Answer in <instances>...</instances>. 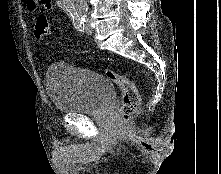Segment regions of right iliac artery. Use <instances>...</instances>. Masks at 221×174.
<instances>
[{
  "instance_id": "right-iliac-artery-1",
  "label": "right iliac artery",
  "mask_w": 221,
  "mask_h": 174,
  "mask_svg": "<svg viewBox=\"0 0 221 174\" xmlns=\"http://www.w3.org/2000/svg\"><path fill=\"white\" fill-rule=\"evenodd\" d=\"M73 25L76 29L82 31L84 29V22L83 20H80V19H75L73 21Z\"/></svg>"
}]
</instances>
